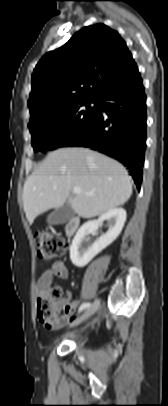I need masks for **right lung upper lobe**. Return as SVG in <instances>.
<instances>
[{
	"mask_svg": "<svg viewBox=\"0 0 168 406\" xmlns=\"http://www.w3.org/2000/svg\"><path fill=\"white\" fill-rule=\"evenodd\" d=\"M138 73L125 41L104 24L84 27L36 65L30 123L102 93Z\"/></svg>",
	"mask_w": 168,
	"mask_h": 406,
	"instance_id": "1",
	"label": "right lung upper lobe"
}]
</instances>
